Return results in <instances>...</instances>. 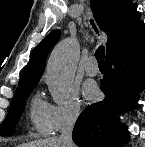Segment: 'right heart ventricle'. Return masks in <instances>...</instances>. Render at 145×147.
<instances>
[{"instance_id": "1", "label": "right heart ventricle", "mask_w": 145, "mask_h": 147, "mask_svg": "<svg viewBox=\"0 0 145 147\" xmlns=\"http://www.w3.org/2000/svg\"><path fill=\"white\" fill-rule=\"evenodd\" d=\"M46 111L47 104L40 97H34L30 106V122L33 129L42 135L49 132Z\"/></svg>"}]
</instances>
